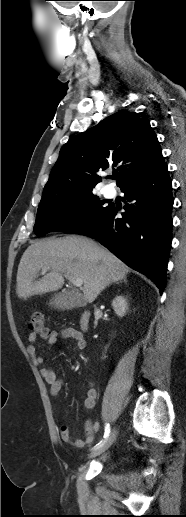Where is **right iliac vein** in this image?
<instances>
[{
  "label": "right iliac vein",
  "mask_w": 186,
  "mask_h": 517,
  "mask_svg": "<svg viewBox=\"0 0 186 517\" xmlns=\"http://www.w3.org/2000/svg\"><path fill=\"white\" fill-rule=\"evenodd\" d=\"M116 433H117L116 429H113V431L111 432V434L109 435L107 440L101 446L94 449L89 454V457L94 458V457H97V456L101 455L102 453H104L113 444L115 437H116Z\"/></svg>",
  "instance_id": "63e3f726"
}]
</instances>
